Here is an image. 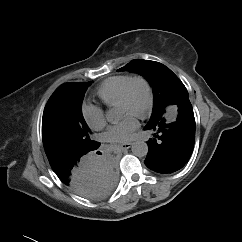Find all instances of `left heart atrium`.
I'll list each match as a JSON object with an SVG mask.
<instances>
[{"label": "left heart atrium", "mask_w": 242, "mask_h": 242, "mask_svg": "<svg viewBox=\"0 0 242 242\" xmlns=\"http://www.w3.org/2000/svg\"><path fill=\"white\" fill-rule=\"evenodd\" d=\"M138 125L134 115L126 114L119 122L108 128L105 137L112 143H126L131 140Z\"/></svg>", "instance_id": "1"}]
</instances>
